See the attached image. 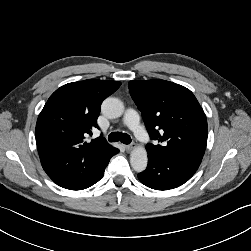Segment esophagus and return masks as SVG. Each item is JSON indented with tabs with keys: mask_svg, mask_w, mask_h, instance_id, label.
<instances>
[{
	"mask_svg": "<svg viewBox=\"0 0 251 251\" xmlns=\"http://www.w3.org/2000/svg\"><path fill=\"white\" fill-rule=\"evenodd\" d=\"M124 147L127 151H131L134 149L135 146L133 144H130V145H125Z\"/></svg>",
	"mask_w": 251,
	"mask_h": 251,
	"instance_id": "1",
	"label": "esophagus"
}]
</instances>
